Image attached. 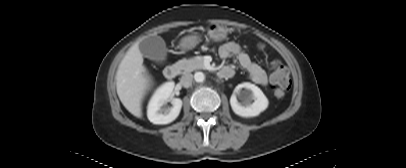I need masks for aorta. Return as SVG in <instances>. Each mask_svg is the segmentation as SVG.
I'll return each instance as SVG.
<instances>
[{
  "mask_svg": "<svg viewBox=\"0 0 406 168\" xmlns=\"http://www.w3.org/2000/svg\"><path fill=\"white\" fill-rule=\"evenodd\" d=\"M194 79L196 82H203L205 80V75L202 72H196L194 74Z\"/></svg>",
  "mask_w": 406,
  "mask_h": 168,
  "instance_id": "762f6f07",
  "label": "aorta"
}]
</instances>
